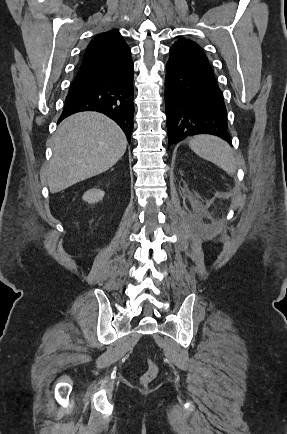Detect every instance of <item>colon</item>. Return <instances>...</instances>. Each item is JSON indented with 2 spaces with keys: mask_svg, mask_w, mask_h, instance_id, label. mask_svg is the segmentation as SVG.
<instances>
[{
  "mask_svg": "<svg viewBox=\"0 0 287 434\" xmlns=\"http://www.w3.org/2000/svg\"><path fill=\"white\" fill-rule=\"evenodd\" d=\"M158 373V367L157 365L152 361L148 360V369L147 371L141 376V383L143 385H148L150 382H152Z\"/></svg>",
  "mask_w": 287,
  "mask_h": 434,
  "instance_id": "1",
  "label": "colon"
}]
</instances>
